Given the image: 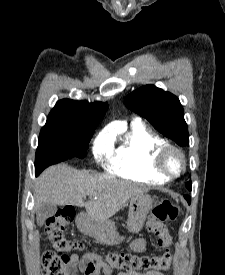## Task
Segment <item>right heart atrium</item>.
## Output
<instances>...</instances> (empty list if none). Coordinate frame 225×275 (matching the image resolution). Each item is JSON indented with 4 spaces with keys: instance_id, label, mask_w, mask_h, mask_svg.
<instances>
[{
    "instance_id": "right-heart-atrium-1",
    "label": "right heart atrium",
    "mask_w": 225,
    "mask_h": 275,
    "mask_svg": "<svg viewBox=\"0 0 225 275\" xmlns=\"http://www.w3.org/2000/svg\"><path fill=\"white\" fill-rule=\"evenodd\" d=\"M113 150V137L109 133H100L93 143V156L97 162L108 158Z\"/></svg>"
}]
</instances>
